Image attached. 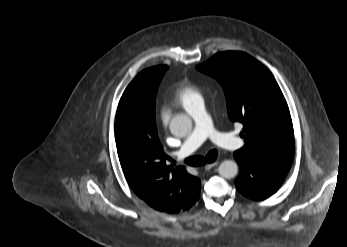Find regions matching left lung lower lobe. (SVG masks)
Wrapping results in <instances>:
<instances>
[{"instance_id": "0a47b994", "label": "left lung lower lobe", "mask_w": 347, "mask_h": 247, "mask_svg": "<svg viewBox=\"0 0 347 247\" xmlns=\"http://www.w3.org/2000/svg\"><path fill=\"white\" fill-rule=\"evenodd\" d=\"M234 157L240 166L236 188L253 200H264L275 193L291 167L290 162L251 159L236 152Z\"/></svg>"}]
</instances>
